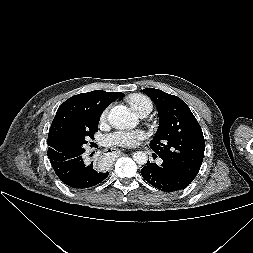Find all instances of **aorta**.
I'll list each match as a JSON object with an SVG mask.
<instances>
[{
  "label": "aorta",
  "mask_w": 253,
  "mask_h": 253,
  "mask_svg": "<svg viewBox=\"0 0 253 253\" xmlns=\"http://www.w3.org/2000/svg\"><path fill=\"white\" fill-rule=\"evenodd\" d=\"M109 123L116 129L134 128L137 125V117L125 106H115L108 114ZM133 160L144 165L147 162V155L142 151L133 154Z\"/></svg>",
  "instance_id": "aorta-1"
}]
</instances>
